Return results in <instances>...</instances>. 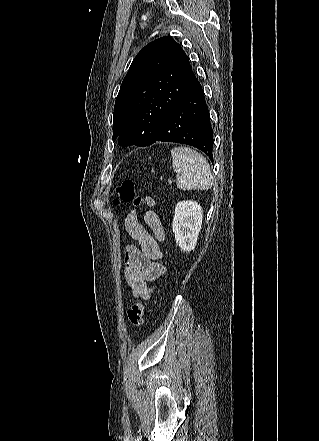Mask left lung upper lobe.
Returning a JSON list of instances; mask_svg holds the SVG:
<instances>
[{
  "mask_svg": "<svg viewBox=\"0 0 319 441\" xmlns=\"http://www.w3.org/2000/svg\"><path fill=\"white\" fill-rule=\"evenodd\" d=\"M189 58L172 37L152 41L134 58L114 106L113 139L149 146L194 78Z\"/></svg>",
  "mask_w": 319,
  "mask_h": 441,
  "instance_id": "left-lung-upper-lobe-1",
  "label": "left lung upper lobe"
}]
</instances>
